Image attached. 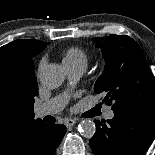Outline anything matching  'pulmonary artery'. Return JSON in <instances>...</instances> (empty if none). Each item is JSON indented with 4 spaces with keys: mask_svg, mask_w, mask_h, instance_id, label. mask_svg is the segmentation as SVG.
<instances>
[{
    "mask_svg": "<svg viewBox=\"0 0 155 155\" xmlns=\"http://www.w3.org/2000/svg\"><path fill=\"white\" fill-rule=\"evenodd\" d=\"M65 67L72 79H78L86 70L85 64L65 65ZM66 101V95L54 97L46 101L36 110V117L40 118L60 112L65 107ZM105 117L107 119H112L114 117V112L112 110H108L105 114Z\"/></svg>",
    "mask_w": 155,
    "mask_h": 155,
    "instance_id": "1",
    "label": "pulmonary artery"
}]
</instances>
